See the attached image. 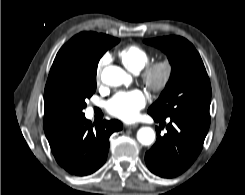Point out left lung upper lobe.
Instances as JSON below:
<instances>
[{
	"mask_svg": "<svg viewBox=\"0 0 245 195\" xmlns=\"http://www.w3.org/2000/svg\"><path fill=\"white\" fill-rule=\"evenodd\" d=\"M144 42L161 49L172 65L171 77L148 113L160 118L180 116L210 121L211 85L195 47L180 36Z\"/></svg>",
	"mask_w": 245,
	"mask_h": 195,
	"instance_id": "left-lung-upper-lobe-1",
	"label": "left lung upper lobe"
}]
</instances>
